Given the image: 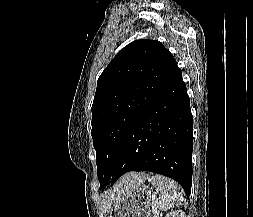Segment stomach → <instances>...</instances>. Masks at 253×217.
I'll return each mask as SVG.
<instances>
[{
	"mask_svg": "<svg viewBox=\"0 0 253 217\" xmlns=\"http://www.w3.org/2000/svg\"><path fill=\"white\" fill-rule=\"evenodd\" d=\"M156 199L144 183L115 199L108 217H150Z\"/></svg>",
	"mask_w": 253,
	"mask_h": 217,
	"instance_id": "1",
	"label": "stomach"
}]
</instances>
